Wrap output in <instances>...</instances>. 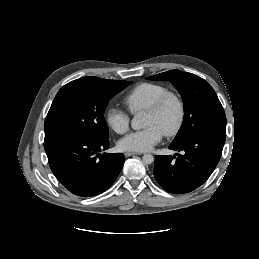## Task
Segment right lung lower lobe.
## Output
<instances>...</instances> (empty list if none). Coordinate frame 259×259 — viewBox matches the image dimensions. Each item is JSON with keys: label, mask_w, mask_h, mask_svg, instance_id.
Wrapping results in <instances>:
<instances>
[{"label": "right lung lower lobe", "mask_w": 259, "mask_h": 259, "mask_svg": "<svg viewBox=\"0 0 259 259\" xmlns=\"http://www.w3.org/2000/svg\"><path fill=\"white\" fill-rule=\"evenodd\" d=\"M108 147V140L79 133L49 135L44 140L53 174L71 193L82 197L104 192L119 175L124 156L100 154Z\"/></svg>", "instance_id": "1"}]
</instances>
